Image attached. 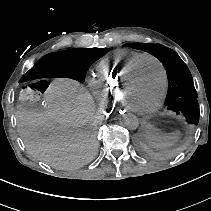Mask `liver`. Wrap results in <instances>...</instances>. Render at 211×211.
<instances>
[{"label":"liver","instance_id":"liver-1","mask_svg":"<svg viewBox=\"0 0 211 211\" xmlns=\"http://www.w3.org/2000/svg\"><path fill=\"white\" fill-rule=\"evenodd\" d=\"M42 110H18V132L29 152L57 169L86 165L96 156L98 141L94 104L75 81L50 83Z\"/></svg>","mask_w":211,"mask_h":211}]
</instances>
